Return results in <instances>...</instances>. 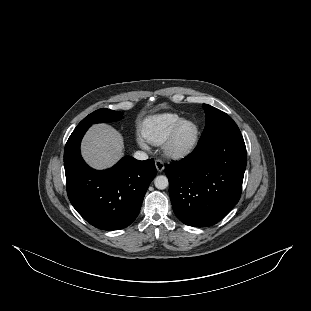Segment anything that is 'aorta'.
Listing matches in <instances>:
<instances>
[{"instance_id":"obj_1","label":"aorta","mask_w":311,"mask_h":311,"mask_svg":"<svg viewBox=\"0 0 311 311\" xmlns=\"http://www.w3.org/2000/svg\"><path fill=\"white\" fill-rule=\"evenodd\" d=\"M154 185L157 189H166L169 186L168 178L164 175L156 176L154 179Z\"/></svg>"}]
</instances>
